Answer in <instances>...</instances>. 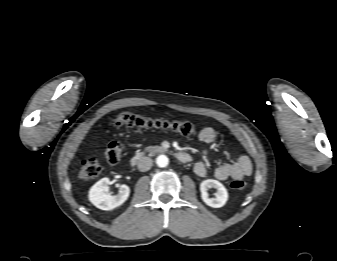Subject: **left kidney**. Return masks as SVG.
<instances>
[{
  "label": "left kidney",
  "mask_w": 337,
  "mask_h": 261,
  "mask_svg": "<svg viewBox=\"0 0 337 261\" xmlns=\"http://www.w3.org/2000/svg\"><path fill=\"white\" fill-rule=\"evenodd\" d=\"M209 188H215V197L211 198L208 195L207 190ZM201 198L210 207L220 208L225 205L228 200V192L222 183L214 179H207L200 184Z\"/></svg>",
  "instance_id": "1"
}]
</instances>
